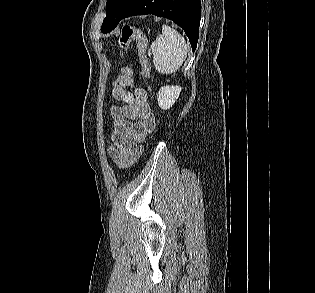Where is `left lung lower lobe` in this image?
I'll list each match as a JSON object with an SVG mask.
<instances>
[{"mask_svg": "<svg viewBox=\"0 0 315 293\" xmlns=\"http://www.w3.org/2000/svg\"><path fill=\"white\" fill-rule=\"evenodd\" d=\"M146 14L172 20L184 29L193 51L196 49L201 17L200 0H139L124 18Z\"/></svg>", "mask_w": 315, "mask_h": 293, "instance_id": "0a47b994", "label": "left lung lower lobe"}]
</instances>
